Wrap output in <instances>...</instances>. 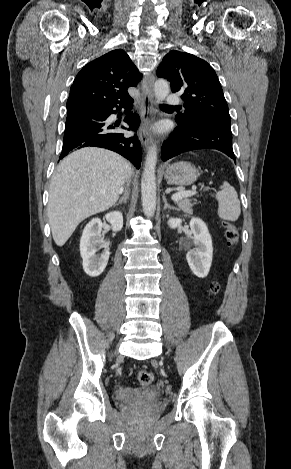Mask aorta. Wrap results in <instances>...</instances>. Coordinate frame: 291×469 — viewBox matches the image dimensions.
Masks as SVG:
<instances>
[{
  "label": "aorta",
  "instance_id": "obj_1",
  "mask_svg": "<svg viewBox=\"0 0 291 469\" xmlns=\"http://www.w3.org/2000/svg\"><path fill=\"white\" fill-rule=\"evenodd\" d=\"M170 86L167 81L159 79L154 85V95L157 102H162L169 94ZM156 163L157 147L152 145L146 156L141 180V199L145 216L152 217L156 210Z\"/></svg>",
  "mask_w": 291,
  "mask_h": 469
}]
</instances>
